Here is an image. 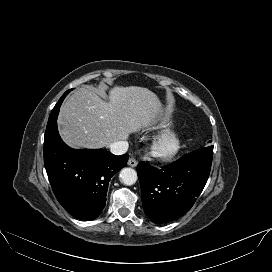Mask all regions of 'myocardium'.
<instances>
[{
	"instance_id": "myocardium-1",
	"label": "myocardium",
	"mask_w": 272,
	"mask_h": 272,
	"mask_svg": "<svg viewBox=\"0 0 272 272\" xmlns=\"http://www.w3.org/2000/svg\"><path fill=\"white\" fill-rule=\"evenodd\" d=\"M182 135L175 130L161 132L153 141L152 153L160 161H171L182 149Z\"/></svg>"
}]
</instances>
